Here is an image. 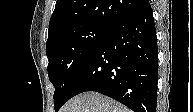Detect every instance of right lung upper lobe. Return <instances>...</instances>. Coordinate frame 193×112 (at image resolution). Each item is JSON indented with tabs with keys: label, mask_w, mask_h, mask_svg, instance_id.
<instances>
[{
	"label": "right lung upper lobe",
	"mask_w": 193,
	"mask_h": 112,
	"mask_svg": "<svg viewBox=\"0 0 193 112\" xmlns=\"http://www.w3.org/2000/svg\"><path fill=\"white\" fill-rule=\"evenodd\" d=\"M147 2L148 0H57L49 22L48 40L60 30L80 23H96L111 28L140 10Z\"/></svg>",
	"instance_id": "obj_1"
}]
</instances>
